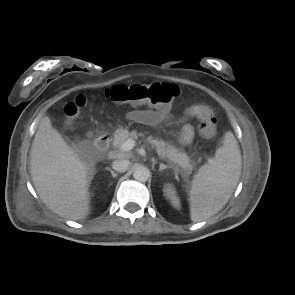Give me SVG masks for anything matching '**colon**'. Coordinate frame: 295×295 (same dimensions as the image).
<instances>
[{"mask_svg":"<svg viewBox=\"0 0 295 295\" xmlns=\"http://www.w3.org/2000/svg\"><path fill=\"white\" fill-rule=\"evenodd\" d=\"M104 97L117 104L151 105L158 109H168L172 102L180 95V89L171 83H134L129 85H115L104 90ZM89 98L77 96L65 105L64 112L68 117H75L88 103ZM218 129L215 117L203 120L199 131L202 136L212 139Z\"/></svg>","mask_w":295,"mask_h":295,"instance_id":"5ec220e1","label":"colon"}]
</instances>
